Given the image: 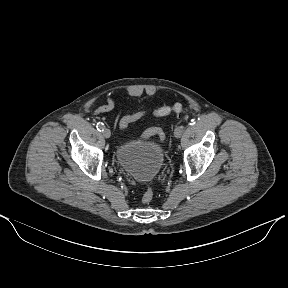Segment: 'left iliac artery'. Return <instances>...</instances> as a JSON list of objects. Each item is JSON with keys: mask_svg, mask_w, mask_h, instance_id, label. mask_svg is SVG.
<instances>
[{"mask_svg": "<svg viewBox=\"0 0 288 288\" xmlns=\"http://www.w3.org/2000/svg\"><path fill=\"white\" fill-rule=\"evenodd\" d=\"M179 128H180V130H185V125L180 124V125H179Z\"/></svg>", "mask_w": 288, "mask_h": 288, "instance_id": "left-iliac-artery-1", "label": "left iliac artery"}]
</instances>
